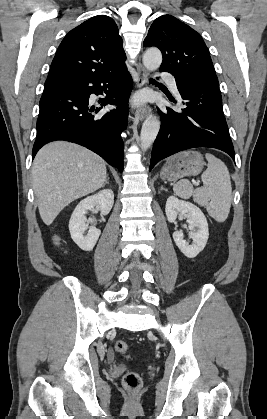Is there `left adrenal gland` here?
I'll use <instances>...</instances> for the list:
<instances>
[{"mask_svg":"<svg viewBox=\"0 0 267 419\" xmlns=\"http://www.w3.org/2000/svg\"><path fill=\"white\" fill-rule=\"evenodd\" d=\"M160 190H161V191H162V190H165V191H166V189H165L163 186H161Z\"/></svg>","mask_w":267,"mask_h":419,"instance_id":"1","label":"left adrenal gland"}]
</instances>
